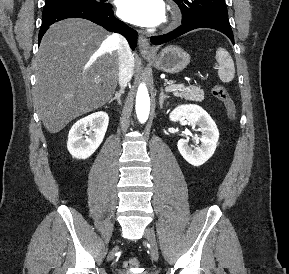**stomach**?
Returning <instances> with one entry per match:
<instances>
[{
	"label": "stomach",
	"instance_id": "1",
	"mask_svg": "<svg viewBox=\"0 0 289 274\" xmlns=\"http://www.w3.org/2000/svg\"><path fill=\"white\" fill-rule=\"evenodd\" d=\"M154 66L163 72L176 74L190 63V55L182 48L174 45L165 47L158 56L149 58Z\"/></svg>",
	"mask_w": 289,
	"mask_h": 274
}]
</instances>
